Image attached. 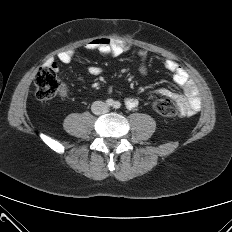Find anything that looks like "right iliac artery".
Listing matches in <instances>:
<instances>
[{"instance_id":"obj_1","label":"right iliac artery","mask_w":232,"mask_h":232,"mask_svg":"<svg viewBox=\"0 0 232 232\" xmlns=\"http://www.w3.org/2000/svg\"><path fill=\"white\" fill-rule=\"evenodd\" d=\"M113 104H114L113 99H107V100H106V105H107V106L110 107V106H113Z\"/></svg>"}]
</instances>
